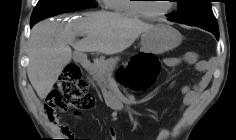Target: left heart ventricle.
Segmentation results:
<instances>
[{
  "mask_svg": "<svg viewBox=\"0 0 236 140\" xmlns=\"http://www.w3.org/2000/svg\"><path fill=\"white\" fill-rule=\"evenodd\" d=\"M146 3V8L152 13H160L167 10L170 7V2L164 0H149Z\"/></svg>",
  "mask_w": 236,
  "mask_h": 140,
  "instance_id": "1",
  "label": "left heart ventricle"
}]
</instances>
